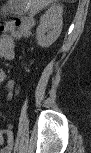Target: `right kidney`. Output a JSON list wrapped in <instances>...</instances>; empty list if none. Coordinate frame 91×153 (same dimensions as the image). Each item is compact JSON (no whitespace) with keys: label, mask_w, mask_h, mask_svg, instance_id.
I'll return each mask as SVG.
<instances>
[{"label":"right kidney","mask_w":91,"mask_h":153,"mask_svg":"<svg viewBox=\"0 0 91 153\" xmlns=\"http://www.w3.org/2000/svg\"><path fill=\"white\" fill-rule=\"evenodd\" d=\"M63 7L60 4H52L40 18L37 28L38 45L45 48L52 45L59 37L63 25Z\"/></svg>","instance_id":"ca27d5eb"}]
</instances>
